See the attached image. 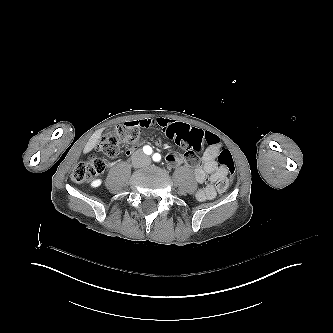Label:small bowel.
<instances>
[{
    "label": "small bowel",
    "mask_w": 333,
    "mask_h": 333,
    "mask_svg": "<svg viewBox=\"0 0 333 333\" xmlns=\"http://www.w3.org/2000/svg\"><path fill=\"white\" fill-rule=\"evenodd\" d=\"M132 123L135 126L142 128L159 127L166 131L187 128L183 124L165 117L142 118ZM154 143L159 145L161 140L156 138ZM141 144L146 146L148 143L143 141ZM134 150L135 146L130 145L127 147L125 153L126 155H131ZM218 151L219 145L209 146L201 157L202 164L194 170V179L197 183L202 184L208 178V183L204 187L198 189L195 194L196 199L200 202L214 199L219 192H222L220 190V184L223 181H226L228 171L216 161ZM186 159V155L180 151H170L165 155V162L171 166H181L186 162Z\"/></svg>",
    "instance_id": "1"
}]
</instances>
